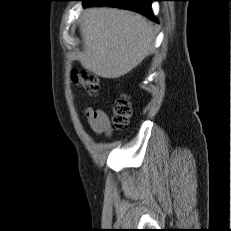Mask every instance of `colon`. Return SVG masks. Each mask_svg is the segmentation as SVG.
<instances>
[{"instance_id":"5ec220e1","label":"colon","mask_w":231,"mask_h":231,"mask_svg":"<svg viewBox=\"0 0 231 231\" xmlns=\"http://www.w3.org/2000/svg\"><path fill=\"white\" fill-rule=\"evenodd\" d=\"M73 80L82 86L89 94L95 95L98 91V80L96 76L86 70L73 73ZM131 115V105L127 99H119L114 109L113 122L116 128L126 127Z\"/></svg>"}]
</instances>
